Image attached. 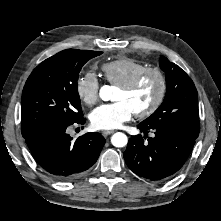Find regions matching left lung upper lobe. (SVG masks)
<instances>
[{
  "label": "left lung upper lobe",
  "mask_w": 221,
  "mask_h": 221,
  "mask_svg": "<svg viewBox=\"0 0 221 221\" xmlns=\"http://www.w3.org/2000/svg\"><path fill=\"white\" fill-rule=\"evenodd\" d=\"M159 64L166 73V96L161 106L141 124L148 128L175 129L196 139L200 130L196 87L191 78L165 56L161 55Z\"/></svg>",
  "instance_id": "left-lung-upper-lobe-1"
}]
</instances>
